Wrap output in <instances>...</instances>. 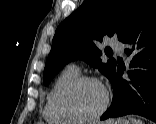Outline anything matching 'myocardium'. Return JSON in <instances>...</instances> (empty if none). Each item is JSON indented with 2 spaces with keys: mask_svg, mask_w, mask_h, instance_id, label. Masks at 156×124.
I'll use <instances>...</instances> for the list:
<instances>
[{
  "mask_svg": "<svg viewBox=\"0 0 156 124\" xmlns=\"http://www.w3.org/2000/svg\"><path fill=\"white\" fill-rule=\"evenodd\" d=\"M86 82H93L102 87V89L104 90V102L101 108L96 113L89 116H82L70 107L69 97L79 85ZM57 104L61 113L66 117L70 118L72 121L78 123L92 122L99 119L106 112L110 104V95L107 88L102 84L99 79L93 76L82 75L76 77L63 87L58 95Z\"/></svg>",
  "mask_w": 156,
  "mask_h": 124,
  "instance_id": "f54148a6",
  "label": "myocardium"
}]
</instances>
